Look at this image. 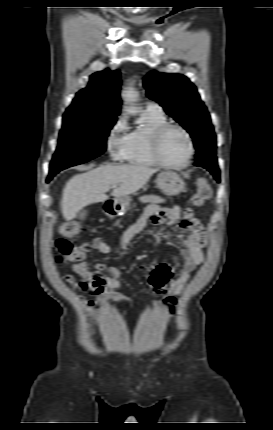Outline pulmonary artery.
<instances>
[{
  "label": "pulmonary artery",
  "instance_id": "e3ab8cb5",
  "mask_svg": "<svg viewBox=\"0 0 273 430\" xmlns=\"http://www.w3.org/2000/svg\"><path fill=\"white\" fill-rule=\"evenodd\" d=\"M147 110L155 112H163L162 107L156 103H151L147 106Z\"/></svg>",
  "mask_w": 273,
  "mask_h": 430
}]
</instances>
